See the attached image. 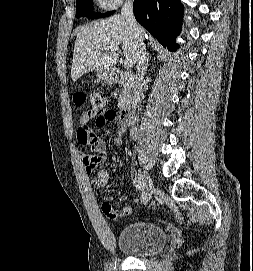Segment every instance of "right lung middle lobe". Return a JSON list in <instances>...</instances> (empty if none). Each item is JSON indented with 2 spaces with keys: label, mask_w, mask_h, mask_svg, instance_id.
<instances>
[{
  "label": "right lung middle lobe",
  "mask_w": 253,
  "mask_h": 271,
  "mask_svg": "<svg viewBox=\"0 0 253 271\" xmlns=\"http://www.w3.org/2000/svg\"><path fill=\"white\" fill-rule=\"evenodd\" d=\"M93 6V0H77L76 4V16L79 18L80 16H87L89 19L97 18V17H105L114 13V11L106 12L103 15H91V9Z\"/></svg>",
  "instance_id": "obj_1"
}]
</instances>
